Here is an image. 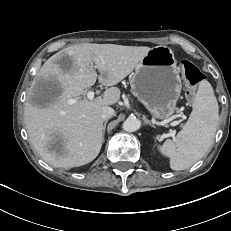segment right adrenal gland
<instances>
[{
    "instance_id": "2a0ac1e0",
    "label": "right adrenal gland",
    "mask_w": 231,
    "mask_h": 231,
    "mask_svg": "<svg viewBox=\"0 0 231 231\" xmlns=\"http://www.w3.org/2000/svg\"><path fill=\"white\" fill-rule=\"evenodd\" d=\"M107 123H108V120H106L105 123H104V125H103V130H102V135H103V137H102V142H104L105 128H106Z\"/></svg>"
}]
</instances>
